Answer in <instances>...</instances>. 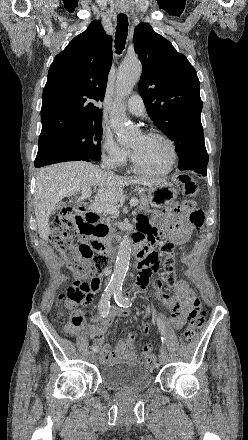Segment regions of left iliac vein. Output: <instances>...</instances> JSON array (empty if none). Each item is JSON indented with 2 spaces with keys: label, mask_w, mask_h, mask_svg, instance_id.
<instances>
[{
  "label": "left iliac vein",
  "mask_w": 248,
  "mask_h": 440,
  "mask_svg": "<svg viewBox=\"0 0 248 440\" xmlns=\"http://www.w3.org/2000/svg\"><path fill=\"white\" fill-rule=\"evenodd\" d=\"M169 361V356L166 351H162L160 354V362L166 364Z\"/></svg>",
  "instance_id": "4c4485c4"
}]
</instances>
